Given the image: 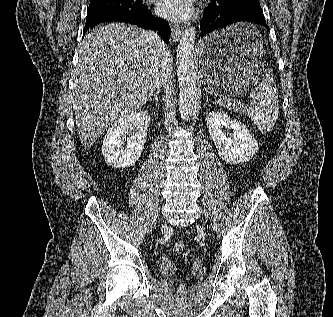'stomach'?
<instances>
[{
    "mask_svg": "<svg viewBox=\"0 0 333 317\" xmlns=\"http://www.w3.org/2000/svg\"><path fill=\"white\" fill-rule=\"evenodd\" d=\"M256 24H227L206 33L199 47L200 88L219 97H234L264 81L263 42ZM255 40V41H252Z\"/></svg>",
    "mask_w": 333,
    "mask_h": 317,
    "instance_id": "stomach-1",
    "label": "stomach"
}]
</instances>
